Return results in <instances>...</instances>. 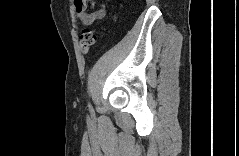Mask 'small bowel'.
Listing matches in <instances>:
<instances>
[{
  "instance_id": "1",
  "label": "small bowel",
  "mask_w": 239,
  "mask_h": 156,
  "mask_svg": "<svg viewBox=\"0 0 239 156\" xmlns=\"http://www.w3.org/2000/svg\"><path fill=\"white\" fill-rule=\"evenodd\" d=\"M74 6L78 20L85 26L94 25L98 20L103 19L107 14L105 4L96 6L87 0H74Z\"/></svg>"
}]
</instances>
